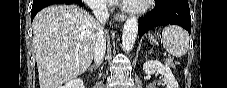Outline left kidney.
I'll return each instance as SVG.
<instances>
[{
  "mask_svg": "<svg viewBox=\"0 0 227 88\" xmlns=\"http://www.w3.org/2000/svg\"><path fill=\"white\" fill-rule=\"evenodd\" d=\"M143 71L146 75H152L155 72L163 76L164 85L166 88H179L171 69L167 65H163L157 60H148L143 64Z\"/></svg>",
  "mask_w": 227,
  "mask_h": 88,
  "instance_id": "left-kidney-1",
  "label": "left kidney"
}]
</instances>
